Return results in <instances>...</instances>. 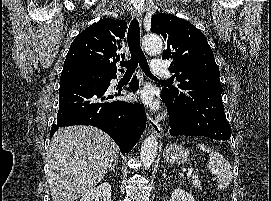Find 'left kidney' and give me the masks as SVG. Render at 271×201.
<instances>
[{
    "mask_svg": "<svg viewBox=\"0 0 271 201\" xmlns=\"http://www.w3.org/2000/svg\"><path fill=\"white\" fill-rule=\"evenodd\" d=\"M169 201H196V200L193 198L191 194H189L185 190L177 188L172 193Z\"/></svg>",
    "mask_w": 271,
    "mask_h": 201,
    "instance_id": "obj_1",
    "label": "left kidney"
}]
</instances>
